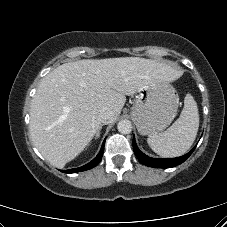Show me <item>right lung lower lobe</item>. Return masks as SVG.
Returning <instances> with one entry per match:
<instances>
[{"label":"right lung lower lobe","mask_w":227,"mask_h":227,"mask_svg":"<svg viewBox=\"0 0 227 227\" xmlns=\"http://www.w3.org/2000/svg\"><path fill=\"white\" fill-rule=\"evenodd\" d=\"M104 144H105V140H104V142L102 144L100 152L98 153V155L91 162H89L88 164H86V165H84L82 167H79V168H74V169H69V170H62V172L75 173V172L89 170V169L95 167L100 162V160L102 158L103 151H104Z\"/></svg>","instance_id":"98d812e1"}]
</instances>
